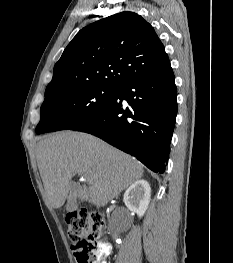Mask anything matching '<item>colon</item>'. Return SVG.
Segmentation results:
<instances>
[{
	"mask_svg": "<svg viewBox=\"0 0 233 263\" xmlns=\"http://www.w3.org/2000/svg\"><path fill=\"white\" fill-rule=\"evenodd\" d=\"M104 216L85 209L70 213L66 229L74 256L78 263H102Z\"/></svg>",
	"mask_w": 233,
	"mask_h": 263,
	"instance_id": "1",
	"label": "colon"
}]
</instances>
